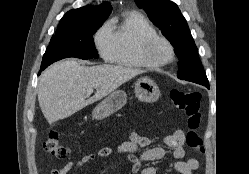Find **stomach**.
Instances as JSON below:
<instances>
[{
  "label": "stomach",
  "instance_id": "0dacf381",
  "mask_svg": "<svg viewBox=\"0 0 249 174\" xmlns=\"http://www.w3.org/2000/svg\"><path fill=\"white\" fill-rule=\"evenodd\" d=\"M136 97L143 102L153 103L158 100L160 90L158 85L149 78H141L135 83ZM127 101V95L122 90H116L99 103L93 110L94 119H104L121 109Z\"/></svg>",
  "mask_w": 249,
  "mask_h": 174
}]
</instances>
